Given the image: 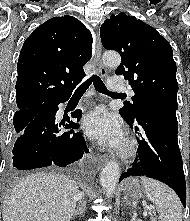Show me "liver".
Returning a JSON list of instances; mask_svg holds the SVG:
<instances>
[{"label":"liver","mask_w":190,"mask_h":221,"mask_svg":"<svg viewBox=\"0 0 190 221\" xmlns=\"http://www.w3.org/2000/svg\"><path fill=\"white\" fill-rule=\"evenodd\" d=\"M77 183L57 173L39 172L20 179L3 202V221H70Z\"/></svg>","instance_id":"1"}]
</instances>
